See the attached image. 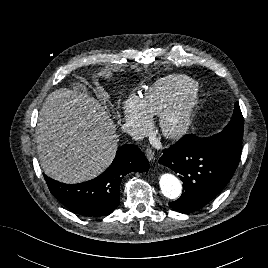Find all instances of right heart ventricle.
Masks as SVG:
<instances>
[{
	"mask_svg": "<svg viewBox=\"0 0 268 268\" xmlns=\"http://www.w3.org/2000/svg\"><path fill=\"white\" fill-rule=\"evenodd\" d=\"M196 87L186 75H168L144 87L142 99L152 115L160 114L164 108L182 92Z\"/></svg>",
	"mask_w": 268,
	"mask_h": 268,
	"instance_id": "1",
	"label": "right heart ventricle"
}]
</instances>
